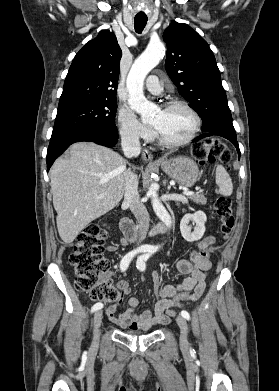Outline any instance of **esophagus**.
<instances>
[{
	"instance_id": "1",
	"label": "esophagus",
	"mask_w": 279,
	"mask_h": 391,
	"mask_svg": "<svg viewBox=\"0 0 279 391\" xmlns=\"http://www.w3.org/2000/svg\"><path fill=\"white\" fill-rule=\"evenodd\" d=\"M142 158L145 161H153V155L150 151L148 150H143L142 151Z\"/></svg>"
}]
</instances>
